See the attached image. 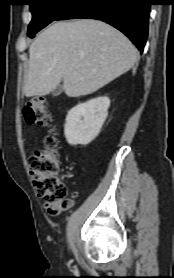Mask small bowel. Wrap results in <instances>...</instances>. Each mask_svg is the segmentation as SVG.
<instances>
[{"label":"small bowel","mask_w":174,"mask_h":278,"mask_svg":"<svg viewBox=\"0 0 174 278\" xmlns=\"http://www.w3.org/2000/svg\"><path fill=\"white\" fill-rule=\"evenodd\" d=\"M73 205H74V200L68 199V201L64 204H61V203L60 204H47L46 203L45 207L51 215H58L62 211L71 208Z\"/></svg>","instance_id":"obj_1"}]
</instances>
